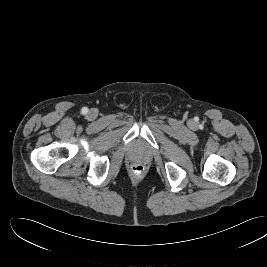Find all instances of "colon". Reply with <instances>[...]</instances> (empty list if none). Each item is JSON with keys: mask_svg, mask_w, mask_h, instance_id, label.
<instances>
[{"mask_svg": "<svg viewBox=\"0 0 267 267\" xmlns=\"http://www.w3.org/2000/svg\"><path fill=\"white\" fill-rule=\"evenodd\" d=\"M132 171H133L134 174L139 175L144 171V166L142 164H140V163H135L132 166Z\"/></svg>", "mask_w": 267, "mask_h": 267, "instance_id": "colon-1", "label": "colon"}]
</instances>
